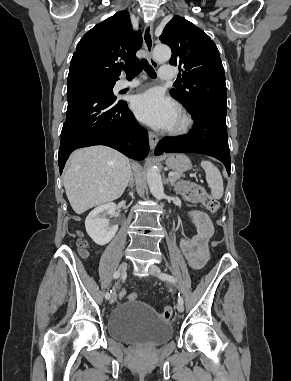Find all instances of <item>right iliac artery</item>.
<instances>
[{
    "instance_id": "1",
    "label": "right iliac artery",
    "mask_w": 291,
    "mask_h": 381,
    "mask_svg": "<svg viewBox=\"0 0 291 381\" xmlns=\"http://www.w3.org/2000/svg\"><path fill=\"white\" fill-rule=\"evenodd\" d=\"M119 276H120V273L118 272V271H116L115 273H114V275H113V277L115 278V279H117V278H119ZM112 292V290L110 291V292H107L106 294H105V298L106 299H109L110 298V293Z\"/></svg>"
}]
</instances>
